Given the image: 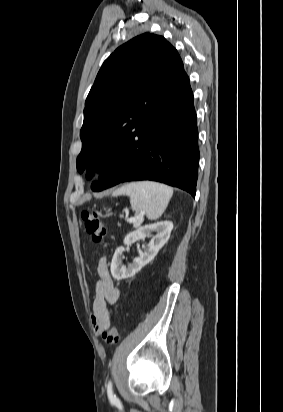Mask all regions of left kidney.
Segmentation results:
<instances>
[{
  "label": "left kidney",
  "instance_id": "1",
  "mask_svg": "<svg viewBox=\"0 0 283 412\" xmlns=\"http://www.w3.org/2000/svg\"><path fill=\"white\" fill-rule=\"evenodd\" d=\"M172 229V222L161 221L139 227L137 230L129 233L124 239L125 245H130L136 241L144 240L145 237L150 235L153 231L157 232V235L154 237L153 241L147 245V247L144 245L142 246V248H144V252H142L139 257L135 258L133 263L127 268L122 265L121 261V256L125 249L124 247L117 248L111 263V274L113 278L116 280L130 278L139 272L145 265L155 258L159 250L166 244L169 240Z\"/></svg>",
  "mask_w": 283,
  "mask_h": 412
}]
</instances>
